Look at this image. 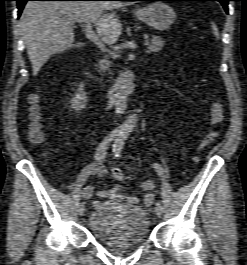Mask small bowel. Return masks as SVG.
<instances>
[{
  "instance_id": "1",
  "label": "small bowel",
  "mask_w": 247,
  "mask_h": 265,
  "mask_svg": "<svg viewBox=\"0 0 247 265\" xmlns=\"http://www.w3.org/2000/svg\"><path fill=\"white\" fill-rule=\"evenodd\" d=\"M93 175L105 177L107 175V169L101 163H92L86 166L70 185L71 191L80 192L81 197L84 199H89L90 197L96 195L100 198H108L113 201L123 200L131 204L138 203L139 200L137 197L124 195L121 192V187L118 185L101 191H98L91 186H85L86 180ZM140 187L145 192L143 197L144 204L147 206L151 205L154 200V195L151 193L155 187L153 180H144Z\"/></svg>"
}]
</instances>
